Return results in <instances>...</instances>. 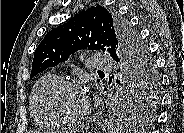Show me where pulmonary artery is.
<instances>
[{"mask_svg": "<svg viewBox=\"0 0 184 133\" xmlns=\"http://www.w3.org/2000/svg\"><path fill=\"white\" fill-rule=\"evenodd\" d=\"M91 63L93 64V67L97 70H110L114 68L112 59L101 54L92 55Z\"/></svg>", "mask_w": 184, "mask_h": 133, "instance_id": "e3ab8cb5", "label": "pulmonary artery"}]
</instances>
